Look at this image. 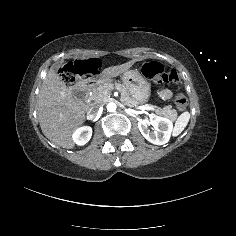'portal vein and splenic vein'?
Segmentation results:
<instances>
[{"mask_svg": "<svg viewBox=\"0 0 236 236\" xmlns=\"http://www.w3.org/2000/svg\"><path fill=\"white\" fill-rule=\"evenodd\" d=\"M140 109H142V110H154V108L152 106H149V105L140 106Z\"/></svg>", "mask_w": 236, "mask_h": 236, "instance_id": "obj_1", "label": "portal vein and splenic vein"}]
</instances>
